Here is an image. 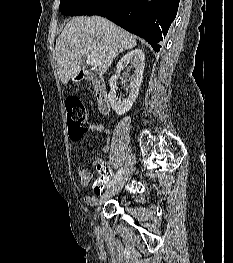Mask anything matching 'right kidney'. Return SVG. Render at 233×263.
I'll list each match as a JSON object with an SVG mask.
<instances>
[{
  "instance_id": "ca27d5eb",
  "label": "right kidney",
  "mask_w": 233,
  "mask_h": 263,
  "mask_svg": "<svg viewBox=\"0 0 233 263\" xmlns=\"http://www.w3.org/2000/svg\"><path fill=\"white\" fill-rule=\"evenodd\" d=\"M145 54L140 49L132 50L126 53L118 62L116 74L110 80L111 90L108 94V99L112 109L118 114L123 115L131 109L133 103L139 94V89L143 79ZM130 64V69H134V73L128 77L129 80V95L127 97L116 95L117 79L121 71Z\"/></svg>"
}]
</instances>
